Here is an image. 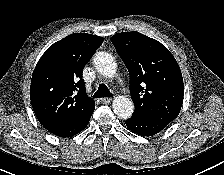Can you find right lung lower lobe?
Here are the masks:
<instances>
[{
	"mask_svg": "<svg viewBox=\"0 0 224 175\" xmlns=\"http://www.w3.org/2000/svg\"><path fill=\"white\" fill-rule=\"evenodd\" d=\"M92 113H90L88 116H86L82 119L76 120V121L64 126L63 128L53 131L52 133H54L55 135L60 136V137L74 136L77 133H79L80 131H82L88 125L89 120L92 116Z\"/></svg>",
	"mask_w": 224,
	"mask_h": 175,
	"instance_id": "obj_1",
	"label": "right lung lower lobe"
}]
</instances>
